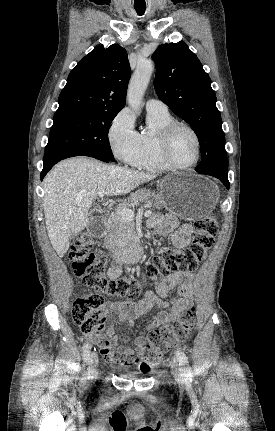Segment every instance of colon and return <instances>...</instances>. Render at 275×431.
Segmentation results:
<instances>
[{"label":"colon","instance_id":"colon-1","mask_svg":"<svg viewBox=\"0 0 275 431\" xmlns=\"http://www.w3.org/2000/svg\"><path fill=\"white\" fill-rule=\"evenodd\" d=\"M194 226L195 233L189 247L167 248L147 264L143 275L132 273L116 279L106 275L107 261L102 253L94 250V236L90 233L77 236L70 252L74 273L82 278L87 287L96 291L77 296L73 300L71 316L82 332L91 336L104 330V296L134 298L141 291L143 277L161 281L175 272L194 271L213 246L218 232L217 219L213 215H207L196 220ZM194 314V308L187 309L179 320L169 326L148 332V343L143 354L135 357L141 371H149L160 362L163 354L188 339L195 324Z\"/></svg>","mask_w":275,"mask_h":431}]
</instances>
